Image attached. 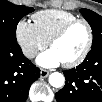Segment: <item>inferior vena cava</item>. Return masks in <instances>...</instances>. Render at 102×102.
<instances>
[{
  "label": "inferior vena cava",
  "instance_id": "602c4592",
  "mask_svg": "<svg viewBox=\"0 0 102 102\" xmlns=\"http://www.w3.org/2000/svg\"><path fill=\"white\" fill-rule=\"evenodd\" d=\"M23 54L28 58H33L37 55V50L34 48L26 47L23 49Z\"/></svg>",
  "mask_w": 102,
  "mask_h": 102
}]
</instances>
